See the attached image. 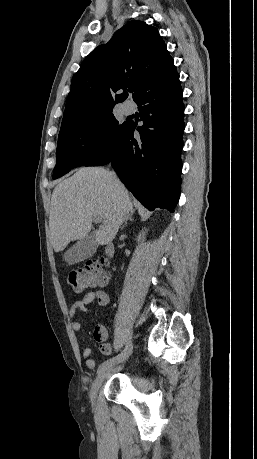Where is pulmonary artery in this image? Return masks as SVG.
I'll use <instances>...</instances> for the list:
<instances>
[{"mask_svg":"<svg viewBox=\"0 0 257 459\" xmlns=\"http://www.w3.org/2000/svg\"><path fill=\"white\" fill-rule=\"evenodd\" d=\"M122 110L124 112V114L126 115H130L134 112L135 110V105L134 103L128 101V102H125L123 105H122Z\"/></svg>","mask_w":257,"mask_h":459,"instance_id":"pulmonary-artery-1","label":"pulmonary artery"}]
</instances>
